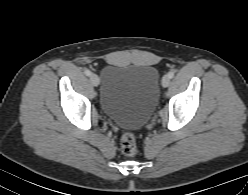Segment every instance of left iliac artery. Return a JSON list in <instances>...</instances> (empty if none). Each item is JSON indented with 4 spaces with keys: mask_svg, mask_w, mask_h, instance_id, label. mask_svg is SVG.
<instances>
[{
    "mask_svg": "<svg viewBox=\"0 0 248 195\" xmlns=\"http://www.w3.org/2000/svg\"><path fill=\"white\" fill-rule=\"evenodd\" d=\"M174 75H175V73H174L173 71H170V72L168 73L169 78H173Z\"/></svg>",
    "mask_w": 248,
    "mask_h": 195,
    "instance_id": "left-iliac-artery-1",
    "label": "left iliac artery"
}]
</instances>
